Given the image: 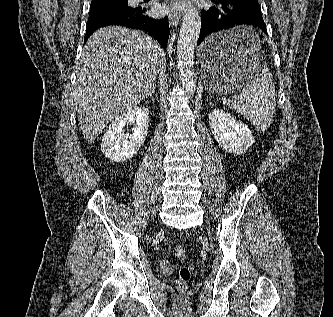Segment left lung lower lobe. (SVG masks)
<instances>
[{
    "label": "left lung lower lobe",
    "mask_w": 333,
    "mask_h": 317,
    "mask_svg": "<svg viewBox=\"0 0 333 317\" xmlns=\"http://www.w3.org/2000/svg\"><path fill=\"white\" fill-rule=\"evenodd\" d=\"M214 6L202 10L199 45L209 34L241 25H254L267 33L258 0H212ZM242 43V42H240ZM243 44V43H242ZM233 48L217 46L211 49L212 57H223Z\"/></svg>",
    "instance_id": "0a47b994"
}]
</instances>
